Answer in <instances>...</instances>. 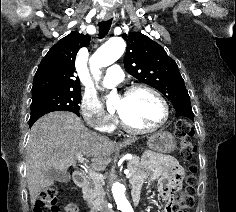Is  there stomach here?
I'll list each match as a JSON object with an SVG mask.
<instances>
[{"label": "stomach", "instance_id": "1", "mask_svg": "<svg viewBox=\"0 0 236 212\" xmlns=\"http://www.w3.org/2000/svg\"><path fill=\"white\" fill-rule=\"evenodd\" d=\"M148 147L152 151L160 153H171L176 147L173 135L167 131H159L148 139Z\"/></svg>", "mask_w": 236, "mask_h": 212}]
</instances>
